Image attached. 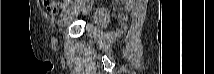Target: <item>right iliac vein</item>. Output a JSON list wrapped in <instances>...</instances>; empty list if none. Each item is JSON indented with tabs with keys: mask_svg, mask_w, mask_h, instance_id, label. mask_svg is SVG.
<instances>
[{
	"mask_svg": "<svg viewBox=\"0 0 214 74\" xmlns=\"http://www.w3.org/2000/svg\"><path fill=\"white\" fill-rule=\"evenodd\" d=\"M85 4L74 6L72 9H69V11L62 17L60 21L61 28L65 27L68 20L72 19L73 17L77 16L81 9L84 7Z\"/></svg>",
	"mask_w": 214,
	"mask_h": 74,
	"instance_id": "obj_1",
	"label": "right iliac vein"
}]
</instances>
